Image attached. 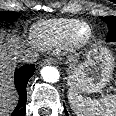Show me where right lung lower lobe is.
<instances>
[{"label":"right lung lower lobe","mask_w":116,"mask_h":116,"mask_svg":"<svg viewBox=\"0 0 116 116\" xmlns=\"http://www.w3.org/2000/svg\"><path fill=\"white\" fill-rule=\"evenodd\" d=\"M34 65H24L15 70V87L19 94V102L11 116H24L26 112L25 103L27 101L26 86L29 78L34 74Z\"/></svg>","instance_id":"1"}]
</instances>
